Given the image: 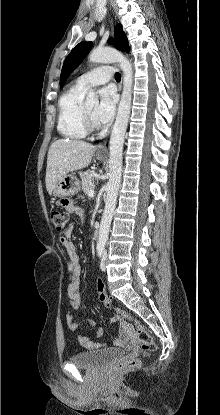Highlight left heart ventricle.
Listing matches in <instances>:
<instances>
[{
  "label": "left heart ventricle",
  "instance_id": "1",
  "mask_svg": "<svg viewBox=\"0 0 220 415\" xmlns=\"http://www.w3.org/2000/svg\"><path fill=\"white\" fill-rule=\"evenodd\" d=\"M95 108H96L95 104L85 105L86 112L88 113V115L90 116L92 120H93V112Z\"/></svg>",
  "mask_w": 220,
  "mask_h": 415
}]
</instances>
